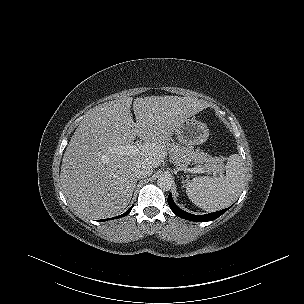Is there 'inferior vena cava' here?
I'll use <instances>...</instances> for the list:
<instances>
[{
    "instance_id": "602c4592",
    "label": "inferior vena cava",
    "mask_w": 304,
    "mask_h": 304,
    "mask_svg": "<svg viewBox=\"0 0 304 304\" xmlns=\"http://www.w3.org/2000/svg\"><path fill=\"white\" fill-rule=\"evenodd\" d=\"M153 172V167L150 164L140 163L134 169V175L138 179L146 178Z\"/></svg>"
}]
</instances>
